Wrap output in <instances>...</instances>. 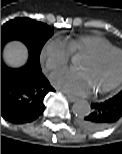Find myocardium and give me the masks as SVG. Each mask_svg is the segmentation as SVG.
<instances>
[{
  "label": "myocardium",
  "mask_w": 122,
  "mask_h": 154,
  "mask_svg": "<svg viewBox=\"0 0 122 154\" xmlns=\"http://www.w3.org/2000/svg\"><path fill=\"white\" fill-rule=\"evenodd\" d=\"M115 53L122 56V49L112 47V48L98 51L96 53L88 54L87 57L89 59L96 61V62H99V61H102L103 59H105L106 57H108L109 55L115 54ZM121 85H122V70H121L118 78L113 83H111L109 86H107L103 89L97 90L96 93L97 94H105V93H108V92L118 88Z\"/></svg>",
  "instance_id": "1"
}]
</instances>
